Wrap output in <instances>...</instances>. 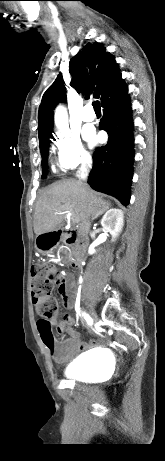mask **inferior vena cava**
I'll list each match as a JSON object with an SVG mask.
<instances>
[{"label":"inferior vena cava","instance_id":"602c4592","mask_svg":"<svg viewBox=\"0 0 165 461\" xmlns=\"http://www.w3.org/2000/svg\"><path fill=\"white\" fill-rule=\"evenodd\" d=\"M92 167V160L90 157H85L82 162V167L79 172V176L81 177L82 180H86L88 172L90 168Z\"/></svg>","mask_w":165,"mask_h":461}]
</instances>
